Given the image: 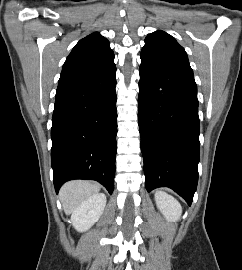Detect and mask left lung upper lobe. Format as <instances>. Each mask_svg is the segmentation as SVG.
I'll use <instances>...</instances> for the list:
<instances>
[{"label": "left lung upper lobe", "instance_id": "left-lung-upper-lobe-1", "mask_svg": "<svg viewBox=\"0 0 242 270\" xmlns=\"http://www.w3.org/2000/svg\"><path fill=\"white\" fill-rule=\"evenodd\" d=\"M140 57L143 62L171 67L193 75L184 48L163 31L153 32L145 38Z\"/></svg>", "mask_w": 242, "mask_h": 270}]
</instances>
